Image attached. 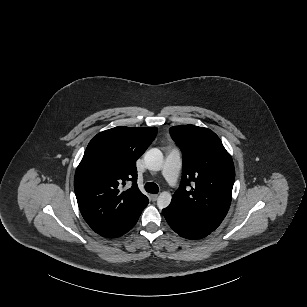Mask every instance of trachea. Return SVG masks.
Wrapping results in <instances>:
<instances>
[{"label":"trachea","instance_id":"1","mask_svg":"<svg viewBox=\"0 0 307 307\" xmlns=\"http://www.w3.org/2000/svg\"><path fill=\"white\" fill-rule=\"evenodd\" d=\"M145 190H146L148 193L157 194L158 191H159V187H158L157 184H155L154 182L146 183V184H145Z\"/></svg>","mask_w":307,"mask_h":307}]
</instances>
